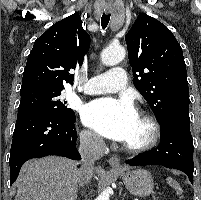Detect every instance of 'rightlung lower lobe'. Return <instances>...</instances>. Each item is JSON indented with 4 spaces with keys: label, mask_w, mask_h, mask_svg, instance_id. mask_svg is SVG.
<instances>
[{
    "label": "right lung lower lobe",
    "mask_w": 201,
    "mask_h": 200,
    "mask_svg": "<svg viewBox=\"0 0 201 200\" xmlns=\"http://www.w3.org/2000/svg\"><path fill=\"white\" fill-rule=\"evenodd\" d=\"M74 122L75 117L67 119L42 111L18 116L10 150V185L29 159L58 155L80 160Z\"/></svg>",
    "instance_id": "1"
}]
</instances>
